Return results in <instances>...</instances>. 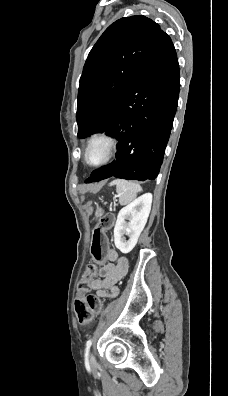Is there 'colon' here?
Returning <instances> with one entry per match:
<instances>
[{"mask_svg":"<svg viewBox=\"0 0 228 396\" xmlns=\"http://www.w3.org/2000/svg\"><path fill=\"white\" fill-rule=\"evenodd\" d=\"M114 216L106 214L102 216L94 227L92 234L91 254L95 261L101 262L105 256L106 232L114 225ZM96 266L90 265L77 284V294L74 308L80 324L89 325L92 317L98 315L102 309L100 299L94 295H87L90 283L95 275Z\"/></svg>","mask_w":228,"mask_h":396,"instance_id":"1","label":"colon"}]
</instances>
